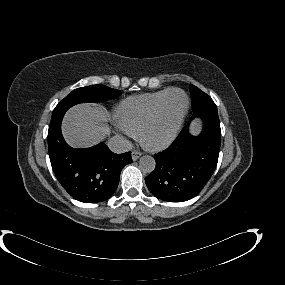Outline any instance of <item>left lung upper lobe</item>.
<instances>
[{
	"label": "left lung upper lobe",
	"mask_w": 285,
	"mask_h": 285,
	"mask_svg": "<svg viewBox=\"0 0 285 285\" xmlns=\"http://www.w3.org/2000/svg\"><path fill=\"white\" fill-rule=\"evenodd\" d=\"M190 93H191V102H192V110L193 112L197 111L198 109L206 106V105H213L215 104L211 97L198 89L194 85H190Z\"/></svg>",
	"instance_id": "obj_1"
}]
</instances>
